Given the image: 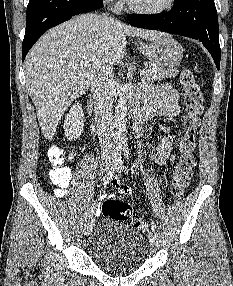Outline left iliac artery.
Segmentation results:
<instances>
[{
  "label": "left iliac artery",
  "instance_id": "1",
  "mask_svg": "<svg viewBox=\"0 0 233 286\" xmlns=\"http://www.w3.org/2000/svg\"><path fill=\"white\" fill-rule=\"evenodd\" d=\"M123 151L126 155V158L129 159L128 155H129V150L128 147L124 146ZM151 228L153 231L158 232V226L154 223V221H151Z\"/></svg>",
  "mask_w": 233,
  "mask_h": 286
}]
</instances>
